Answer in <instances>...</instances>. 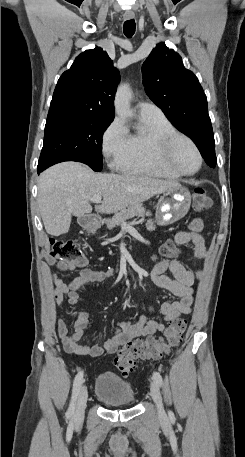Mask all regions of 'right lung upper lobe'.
Here are the masks:
<instances>
[{
    "mask_svg": "<svg viewBox=\"0 0 245 457\" xmlns=\"http://www.w3.org/2000/svg\"><path fill=\"white\" fill-rule=\"evenodd\" d=\"M118 70L106 51L96 47L81 53L58 80L49 113L80 112L114 118Z\"/></svg>",
    "mask_w": 245,
    "mask_h": 457,
    "instance_id": "cb5924a9",
    "label": "right lung upper lobe"
}]
</instances>
